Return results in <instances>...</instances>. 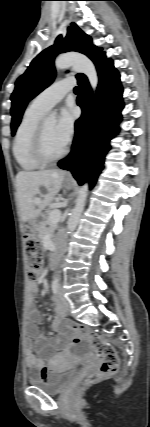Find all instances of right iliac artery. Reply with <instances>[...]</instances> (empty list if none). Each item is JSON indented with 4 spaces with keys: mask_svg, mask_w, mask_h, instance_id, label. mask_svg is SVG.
Instances as JSON below:
<instances>
[{
    "mask_svg": "<svg viewBox=\"0 0 150 427\" xmlns=\"http://www.w3.org/2000/svg\"><path fill=\"white\" fill-rule=\"evenodd\" d=\"M52 291L55 295H57L58 293V282L57 281H53L52 283Z\"/></svg>",
    "mask_w": 150,
    "mask_h": 427,
    "instance_id": "82829eb1",
    "label": "right iliac artery"
}]
</instances>
